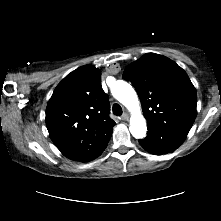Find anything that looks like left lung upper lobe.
Returning <instances> with one entry per match:
<instances>
[{
    "mask_svg": "<svg viewBox=\"0 0 221 221\" xmlns=\"http://www.w3.org/2000/svg\"><path fill=\"white\" fill-rule=\"evenodd\" d=\"M140 98L148 126L189 131L197 94L186 72L169 58L147 53L124 70Z\"/></svg>",
    "mask_w": 221,
    "mask_h": 221,
    "instance_id": "left-lung-upper-lobe-1",
    "label": "left lung upper lobe"
}]
</instances>
